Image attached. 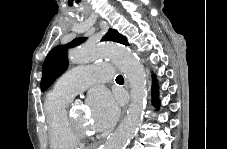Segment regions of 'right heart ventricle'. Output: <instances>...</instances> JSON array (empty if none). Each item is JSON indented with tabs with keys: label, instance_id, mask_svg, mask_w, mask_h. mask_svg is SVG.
Listing matches in <instances>:
<instances>
[{
	"label": "right heart ventricle",
	"instance_id": "e07e8e85",
	"mask_svg": "<svg viewBox=\"0 0 227 149\" xmlns=\"http://www.w3.org/2000/svg\"><path fill=\"white\" fill-rule=\"evenodd\" d=\"M71 99L54 89L45 98L44 114L51 149H73L78 145V138L71 134L66 124V108Z\"/></svg>",
	"mask_w": 227,
	"mask_h": 149
}]
</instances>
